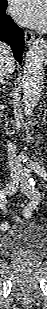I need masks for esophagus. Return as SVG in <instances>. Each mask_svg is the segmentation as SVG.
<instances>
[{
    "instance_id": "34e87169",
    "label": "esophagus",
    "mask_w": 47,
    "mask_h": 309,
    "mask_svg": "<svg viewBox=\"0 0 47 309\" xmlns=\"http://www.w3.org/2000/svg\"><path fill=\"white\" fill-rule=\"evenodd\" d=\"M24 36H25V43H26V45H31L32 42L34 41V38H35L33 32L25 31Z\"/></svg>"
}]
</instances>
